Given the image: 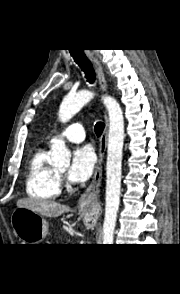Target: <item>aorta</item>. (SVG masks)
Instances as JSON below:
<instances>
[{
    "label": "aorta",
    "instance_id": "obj_1",
    "mask_svg": "<svg viewBox=\"0 0 180 294\" xmlns=\"http://www.w3.org/2000/svg\"><path fill=\"white\" fill-rule=\"evenodd\" d=\"M94 93L82 90L67 95L59 109V119L69 121L93 97ZM103 103L109 116V135L106 164V197L105 218L103 224V244H113L114 230L120 203L122 150L124 142V118L119 103L110 96L103 97ZM51 160L55 167L67 168L70 165L71 153L63 140H53Z\"/></svg>",
    "mask_w": 180,
    "mask_h": 294
}]
</instances>
